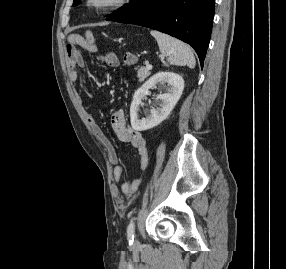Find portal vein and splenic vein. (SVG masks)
Returning a JSON list of instances; mask_svg holds the SVG:
<instances>
[{"mask_svg": "<svg viewBox=\"0 0 286 269\" xmlns=\"http://www.w3.org/2000/svg\"><path fill=\"white\" fill-rule=\"evenodd\" d=\"M162 58H163V57H162ZM146 68H147L148 70H151V69H152V65H150L149 63H147Z\"/></svg>", "mask_w": 286, "mask_h": 269, "instance_id": "1", "label": "portal vein and splenic vein"}]
</instances>
